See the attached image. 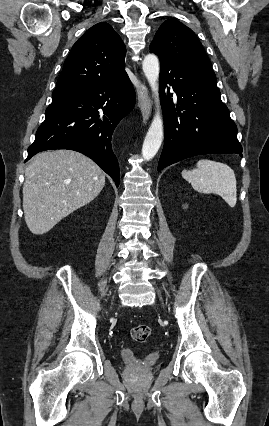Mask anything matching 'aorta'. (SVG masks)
<instances>
[{"label": "aorta", "mask_w": 269, "mask_h": 426, "mask_svg": "<svg viewBox=\"0 0 269 426\" xmlns=\"http://www.w3.org/2000/svg\"><path fill=\"white\" fill-rule=\"evenodd\" d=\"M142 68L145 77L147 78V81L152 89L157 107L156 113L142 146V157L144 160L149 161L156 155L163 140V120L160 112L158 93V80L160 71L158 57L154 54L146 55L142 62Z\"/></svg>", "instance_id": "obj_1"}]
</instances>
